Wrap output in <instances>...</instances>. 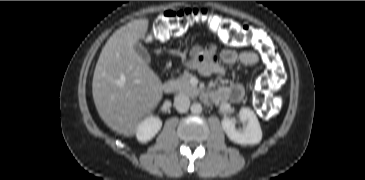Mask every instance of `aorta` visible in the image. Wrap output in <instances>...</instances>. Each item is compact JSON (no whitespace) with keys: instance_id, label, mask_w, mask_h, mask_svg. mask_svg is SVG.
<instances>
[{"instance_id":"1","label":"aorta","mask_w":365,"mask_h":180,"mask_svg":"<svg viewBox=\"0 0 365 180\" xmlns=\"http://www.w3.org/2000/svg\"><path fill=\"white\" fill-rule=\"evenodd\" d=\"M190 109L193 114H200L202 112V105L200 103H193Z\"/></svg>"}]
</instances>
